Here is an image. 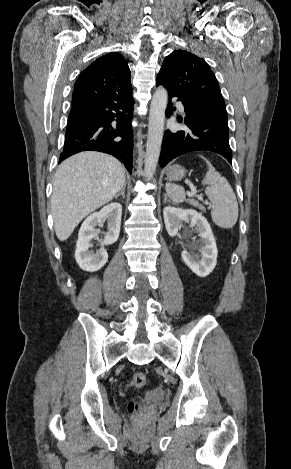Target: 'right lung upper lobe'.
Listing matches in <instances>:
<instances>
[{
    "instance_id": "obj_1",
    "label": "right lung upper lobe",
    "mask_w": 291,
    "mask_h": 469,
    "mask_svg": "<svg viewBox=\"0 0 291 469\" xmlns=\"http://www.w3.org/2000/svg\"><path fill=\"white\" fill-rule=\"evenodd\" d=\"M130 78L126 60L118 53L106 54L80 74L72 94V105L108 92L132 95Z\"/></svg>"
}]
</instances>
